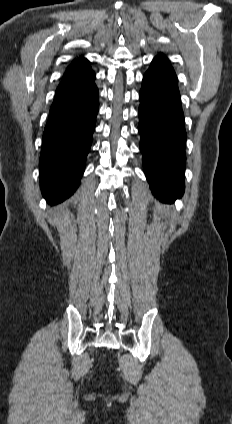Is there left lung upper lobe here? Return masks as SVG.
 I'll return each mask as SVG.
<instances>
[{"instance_id": "left-lung-upper-lobe-1", "label": "left lung upper lobe", "mask_w": 232, "mask_h": 424, "mask_svg": "<svg viewBox=\"0 0 232 424\" xmlns=\"http://www.w3.org/2000/svg\"><path fill=\"white\" fill-rule=\"evenodd\" d=\"M157 57H164V55H161V56H157Z\"/></svg>"}]
</instances>
